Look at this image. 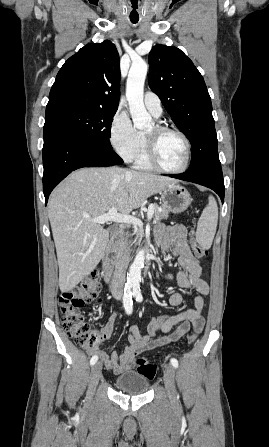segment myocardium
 Returning <instances> with one entry per match:
<instances>
[{"mask_svg": "<svg viewBox=\"0 0 269 447\" xmlns=\"http://www.w3.org/2000/svg\"><path fill=\"white\" fill-rule=\"evenodd\" d=\"M155 128L160 133L172 132V133L179 135L185 142L186 156H185V161H184L183 165L179 168L171 169V168L164 166L161 163V161L159 160L157 148H156L154 141L145 135L144 139H145V147H146V157H147V161L149 162V164L153 168H156V169H158L162 172H166V173H180V172L185 171L189 166L190 158H191V142H190V139L188 138V136L181 130L174 128V127H169L166 125H156Z\"/></svg>", "mask_w": 269, "mask_h": 447, "instance_id": "obj_1", "label": "myocardium"}]
</instances>
